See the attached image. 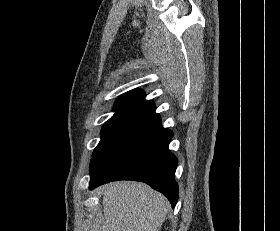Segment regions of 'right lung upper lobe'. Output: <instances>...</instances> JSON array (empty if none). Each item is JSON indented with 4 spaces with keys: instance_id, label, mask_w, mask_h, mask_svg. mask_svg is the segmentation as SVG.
<instances>
[{
    "instance_id": "obj_1",
    "label": "right lung upper lobe",
    "mask_w": 280,
    "mask_h": 231,
    "mask_svg": "<svg viewBox=\"0 0 280 231\" xmlns=\"http://www.w3.org/2000/svg\"><path fill=\"white\" fill-rule=\"evenodd\" d=\"M145 93L135 89L123 94L116 101L114 110L116 113L111 117L112 121H125L133 125L149 122L159 115L155 113V105L152 101L144 99Z\"/></svg>"
}]
</instances>
